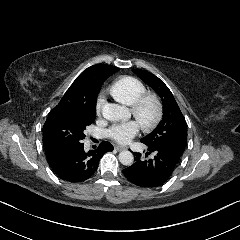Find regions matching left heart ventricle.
Instances as JSON below:
<instances>
[{
  "label": "left heart ventricle",
  "instance_id": "1",
  "mask_svg": "<svg viewBox=\"0 0 240 240\" xmlns=\"http://www.w3.org/2000/svg\"><path fill=\"white\" fill-rule=\"evenodd\" d=\"M155 114V108L151 102H147L141 111V121L148 123L152 120Z\"/></svg>",
  "mask_w": 240,
  "mask_h": 240
}]
</instances>
